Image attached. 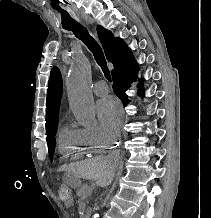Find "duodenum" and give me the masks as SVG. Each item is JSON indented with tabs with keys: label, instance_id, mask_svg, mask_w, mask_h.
<instances>
[{
	"label": "duodenum",
	"instance_id": "410a0bca",
	"mask_svg": "<svg viewBox=\"0 0 211 218\" xmlns=\"http://www.w3.org/2000/svg\"><path fill=\"white\" fill-rule=\"evenodd\" d=\"M92 215V210L91 209H86L85 210V218H90Z\"/></svg>",
	"mask_w": 211,
	"mask_h": 218
}]
</instances>
